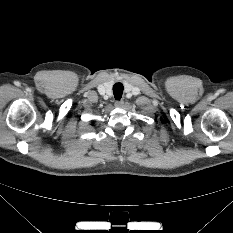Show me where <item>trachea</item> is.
<instances>
[{"label":"trachea","mask_w":233,"mask_h":233,"mask_svg":"<svg viewBox=\"0 0 233 233\" xmlns=\"http://www.w3.org/2000/svg\"><path fill=\"white\" fill-rule=\"evenodd\" d=\"M123 89H124V87H123L122 83L118 82V83L114 84L113 93H114V97L116 100L121 99L122 94H123Z\"/></svg>","instance_id":"3493384b"}]
</instances>
